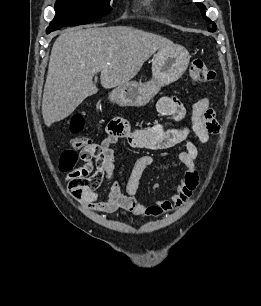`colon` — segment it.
<instances>
[{"label":"colon","mask_w":261,"mask_h":306,"mask_svg":"<svg viewBox=\"0 0 261 306\" xmlns=\"http://www.w3.org/2000/svg\"><path fill=\"white\" fill-rule=\"evenodd\" d=\"M189 75L193 83L201 84L214 80L215 73L208 68L201 59H194L189 67ZM84 120L81 115H74L70 122L71 132L78 134L82 131ZM72 149L63 152L60 159V168L62 171L70 172L69 174V189L76 200H80L83 190L92 188L93 183L88 181L83 174L78 170H73L77 161V150H80L83 157H87L97 166H101L105 159V154L99 144L92 143L86 137H74L71 140Z\"/></svg>","instance_id":"5ec220e1"}]
</instances>
